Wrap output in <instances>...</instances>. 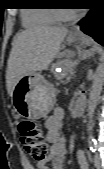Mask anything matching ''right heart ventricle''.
I'll return each mask as SVG.
<instances>
[{
  "mask_svg": "<svg viewBox=\"0 0 104 169\" xmlns=\"http://www.w3.org/2000/svg\"><path fill=\"white\" fill-rule=\"evenodd\" d=\"M22 19L28 27L52 25L58 21L50 9L26 10L22 12Z\"/></svg>",
  "mask_w": 104,
  "mask_h": 169,
  "instance_id": "1",
  "label": "right heart ventricle"
}]
</instances>
